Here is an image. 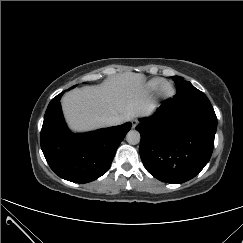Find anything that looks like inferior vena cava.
Returning <instances> with one entry per match:
<instances>
[{"instance_id": "602c4592", "label": "inferior vena cava", "mask_w": 243, "mask_h": 243, "mask_svg": "<svg viewBox=\"0 0 243 243\" xmlns=\"http://www.w3.org/2000/svg\"><path fill=\"white\" fill-rule=\"evenodd\" d=\"M121 123H123L122 119L117 116H110L106 119V124L108 126H115V125H119Z\"/></svg>"}]
</instances>
